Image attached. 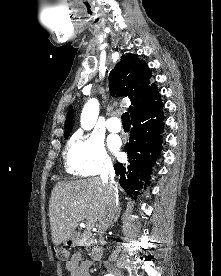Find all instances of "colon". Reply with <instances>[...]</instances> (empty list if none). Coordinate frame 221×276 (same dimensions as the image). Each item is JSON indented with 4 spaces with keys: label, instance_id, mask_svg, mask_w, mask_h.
I'll use <instances>...</instances> for the list:
<instances>
[{
    "label": "colon",
    "instance_id": "5ec220e1",
    "mask_svg": "<svg viewBox=\"0 0 221 276\" xmlns=\"http://www.w3.org/2000/svg\"><path fill=\"white\" fill-rule=\"evenodd\" d=\"M56 256L59 261L66 262L69 259V252L66 249H58L56 251Z\"/></svg>",
    "mask_w": 221,
    "mask_h": 276
}]
</instances>
